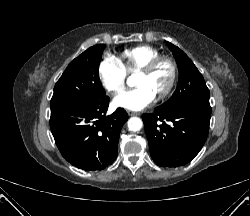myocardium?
Segmentation results:
<instances>
[{
    "label": "myocardium",
    "instance_id": "1",
    "mask_svg": "<svg viewBox=\"0 0 250 216\" xmlns=\"http://www.w3.org/2000/svg\"><path fill=\"white\" fill-rule=\"evenodd\" d=\"M161 65H165L168 68V79L164 87L156 94L158 99L166 97L175 85L177 78V66L175 62L168 57H159L139 70V74L148 75L153 73Z\"/></svg>",
    "mask_w": 250,
    "mask_h": 216
}]
</instances>
